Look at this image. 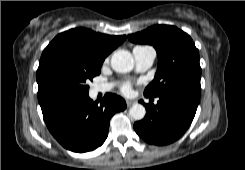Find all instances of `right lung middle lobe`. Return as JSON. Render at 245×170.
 I'll return each instance as SVG.
<instances>
[{"mask_svg": "<svg viewBox=\"0 0 245 170\" xmlns=\"http://www.w3.org/2000/svg\"><path fill=\"white\" fill-rule=\"evenodd\" d=\"M101 65L92 67L52 58L39 64L37 70L38 100L42 110L63 101L88 95L87 82L100 74Z\"/></svg>", "mask_w": 245, "mask_h": 170, "instance_id": "1", "label": "right lung middle lobe"}]
</instances>
